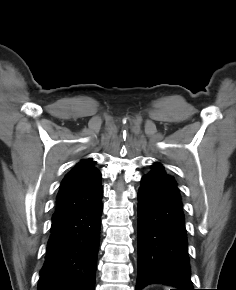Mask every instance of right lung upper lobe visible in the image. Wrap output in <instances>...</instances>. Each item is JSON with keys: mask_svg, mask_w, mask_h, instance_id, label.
<instances>
[{"mask_svg": "<svg viewBox=\"0 0 236 290\" xmlns=\"http://www.w3.org/2000/svg\"><path fill=\"white\" fill-rule=\"evenodd\" d=\"M93 163L90 158L83 159L64 177L52 219L92 203L103 193L101 173Z\"/></svg>", "mask_w": 236, "mask_h": 290, "instance_id": "1", "label": "right lung upper lobe"}]
</instances>
